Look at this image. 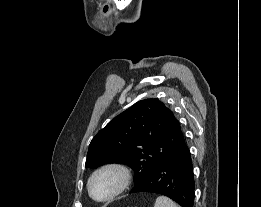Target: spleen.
<instances>
[{
  "mask_svg": "<svg viewBox=\"0 0 261 207\" xmlns=\"http://www.w3.org/2000/svg\"><path fill=\"white\" fill-rule=\"evenodd\" d=\"M154 207H179L171 199L165 196L157 197Z\"/></svg>",
  "mask_w": 261,
  "mask_h": 207,
  "instance_id": "1",
  "label": "spleen"
}]
</instances>
